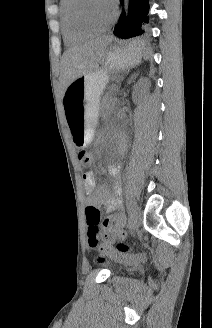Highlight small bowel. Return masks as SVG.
<instances>
[{
    "mask_svg": "<svg viewBox=\"0 0 212 328\" xmlns=\"http://www.w3.org/2000/svg\"><path fill=\"white\" fill-rule=\"evenodd\" d=\"M108 171L111 177L116 179L119 175L120 168L118 165H111ZM83 182L86 191L89 193L87 199L89 206H94L97 209L104 207L108 213H112L103 222L105 240L110 242L116 237H123L124 231L122 226L124 224V215L121 212L122 199L120 187L116 185L114 192L110 193L107 187L97 185L96 179L91 171H86L83 174Z\"/></svg>",
    "mask_w": 212,
    "mask_h": 328,
    "instance_id": "small-bowel-1",
    "label": "small bowel"
}]
</instances>
